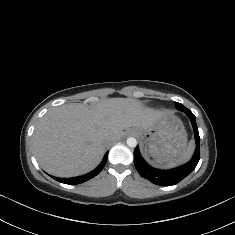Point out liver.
Wrapping results in <instances>:
<instances>
[{
    "label": "liver",
    "mask_w": 235,
    "mask_h": 235,
    "mask_svg": "<svg viewBox=\"0 0 235 235\" xmlns=\"http://www.w3.org/2000/svg\"><path fill=\"white\" fill-rule=\"evenodd\" d=\"M164 113L131 98L103 100L92 108L83 104L55 107L35 128L34 154L51 175L79 176L101 162L108 143L123 136V130L148 129Z\"/></svg>",
    "instance_id": "liver-1"
}]
</instances>
